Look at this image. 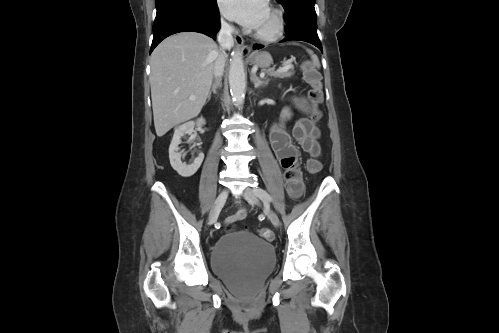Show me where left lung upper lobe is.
I'll return each instance as SVG.
<instances>
[{
    "label": "left lung upper lobe",
    "instance_id": "obj_1",
    "mask_svg": "<svg viewBox=\"0 0 499 333\" xmlns=\"http://www.w3.org/2000/svg\"><path fill=\"white\" fill-rule=\"evenodd\" d=\"M283 7L287 6L288 3L292 2V1H297V0H277ZM301 1H307V2H314L315 3V0H301Z\"/></svg>",
    "mask_w": 499,
    "mask_h": 333
}]
</instances>
